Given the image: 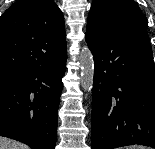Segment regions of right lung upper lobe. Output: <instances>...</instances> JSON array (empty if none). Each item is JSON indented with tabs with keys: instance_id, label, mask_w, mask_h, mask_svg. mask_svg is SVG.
<instances>
[{
	"instance_id": "cb5924a9",
	"label": "right lung upper lobe",
	"mask_w": 155,
	"mask_h": 149,
	"mask_svg": "<svg viewBox=\"0 0 155 149\" xmlns=\"http://www.w3.org/2000/svg\"><path fill=\"white\" fill-rule=\"evenodd\" d=\"M66 54L61 10L53 0H19L0 18V71L23 74Z\"/></svg>"
}]
</instances>
